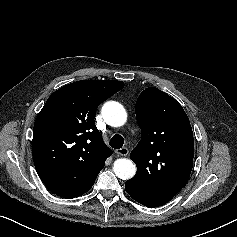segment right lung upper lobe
I'll return each mask as SVG.
<instances>
[{
	"instance_id": "cb5924a9",
	"label": "right lung upper lobe",
	"mask_w": 237,
	"mask_h": 237,
	"mask_svg": "<svg viewBox=\"0 0 237 237\" xmlns=\"http://www.w3.org/2000/svg\"><path fill=\"white\" fill-rule=\"evenodd\" d=\"M117 80H81L56 90L34 124V165L47 188L64 198L91 189L112 154L96 128L98 106L120 91Z\"/></svg>"
}]
</instances>
